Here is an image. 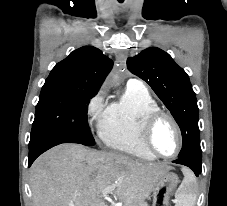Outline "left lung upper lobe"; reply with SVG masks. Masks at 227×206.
Segmentation results:
<instances>
[{
  "instance_id": "1",
  "label": "left lung upper lobe",
  "mask_w": 227,
  "mask_h": 206,
  "mask_svg": "<svg viewBox=\"0 0 227 206\" xmlns=\"http://www.w3.org/2000/svg\"><path fill=\"white\" fill-rule=\"evenodd\" d=\"M127 67L151 86L178 123L183 138L178 158L202 160L197 100L186 72L157 47L129 57Z\"/></svg>"
}]
</instances>
